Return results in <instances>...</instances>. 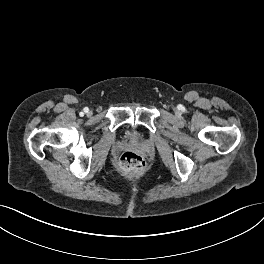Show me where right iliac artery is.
<instances>
[{
	"label": "right iliac artery",
	"mask_w": 264,
	"mask_h": 264,
	"mask_svg": "<svg viewBox=\"0 0 264 264\" xmlns=\"http://www.w3.org/2000/svg\"><path fill=\"white\" fill-rule=\"evenodd\" d=\"M88 110H89V109H88L87 107H85V108H84V112H86V113H87V112H88Z\"/></svg>",
	"instance_id": "obj_1"
}]
</instances>
